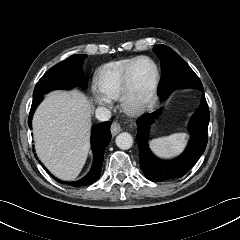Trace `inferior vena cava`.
<instances>
[{"label":"inferior vena cava","mask_w":240,"mask_h":240,"mask_svg":"<svg viewBox=\"0 0 240 240\" xmlns=\"http://www.w3.org/2000/svg\"><path fill=\"white\" fill-rule=\"evenodd\" d=\"M95 116L99 121H108L111 118V112L105 107H98L95 111Z\"/></svg>","instance_id":"1"}]
</instances>
